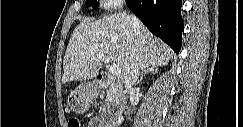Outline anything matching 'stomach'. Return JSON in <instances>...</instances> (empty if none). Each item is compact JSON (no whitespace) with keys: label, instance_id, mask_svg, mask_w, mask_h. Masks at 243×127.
<instances>
[{"label":"stomach","instance_id":"stomach-1","mask_svg":"<svg viewBox=\"0 0 243 127\" xmlns=\"http://www.w3.org/2000/svg\"><path fill=\"white\" fill-rule=\"evenodd\" d=\"M96 93L97 86L95 84L82 83L69 93L67 106L72 112L82 114L87 111Z\"/></svg>","mask_w":243,"mask_h":127}]
</instances>
